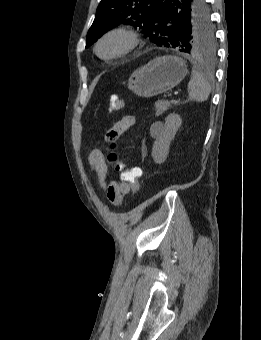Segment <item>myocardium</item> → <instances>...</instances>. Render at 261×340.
Instances as JSON below:
<instances>
[{"instance_id":"f54148a6","label":"myocardium","mask_w":261,"mask_h":340,"mask_svg":"<svg viewBox=\"0 0 261 340\" xmlns=\"http://www.w3.org/2000/svg\"><path fill=\"white\" fill-rule=\"evenodd\" d=\"M111 37H121L125 41V45L117 53H114V54L109 55V56H104L101 53L100 48H101L102 44L107 39H109ZM139 43H140V36L137 33V31H135L134 29L129 28V27L118 26V27H114V28L106 31L97 40L96 45H95V52L98 55V57H100L101 59H103L105 61H112V60H115V59H119V58L127 55L131 51H133L139 45Z\"/></svg>"}]
</instances>
